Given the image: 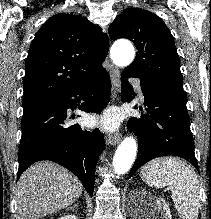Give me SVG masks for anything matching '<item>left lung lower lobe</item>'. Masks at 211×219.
Here are the masks:
<instances>
[{"label": "left lung lower lobe", "instance_id": "left-lung-lower-lobe-1", "mask_svg": "<svg viewBox=\"0 0 211 219\" xmlns=\"http://www.w3.org/2000/svg\"><path fill=\"white\" fill-rule=\"evenodd\" d=\"M128 77L139 78L123 70L121 75L123 102L132 100L133 87L127 81ZM140 80L145 98L144 105L148 109L141 118H130L127 122L128 129L137 135L139 142L137 159L129 178L151 159L168 155L182 157L199 170L194 154V141L190 131L183 83L141 78Z\"/></svg>", "mask_w": 211, "mask_h": 219}]
</instances>
